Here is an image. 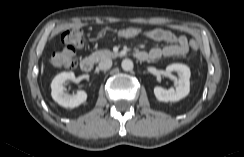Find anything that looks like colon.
<instances>
[{
  "label": "colon",
  "instance_id": "1",
  "mask_svg": "<svg viewBox=\"0 0 244 157\" xmlns=\"http://www.w3.org/2000/svg\"><path fill=\"white\" fill-rule=\"evenodd\" d=\"M145 30L138 27H126L120 29L117 35L120 38L130 39L141 36ZM64 43L60 50L54 51L50 56V64L54 68L71 70L77 64L76 51L85 45V34L79 29L66 30L62 33ZM192 50H198V43L194 40L190 42Z\"/></svg>",
  "mask_w": 244,
  "mask_h": 157
}]
</instances>
